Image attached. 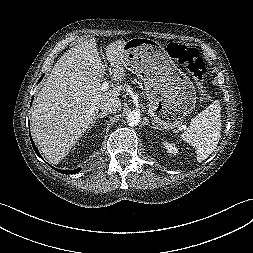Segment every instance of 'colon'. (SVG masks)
I'll list each match as a JSON object with an SVG mask.
<instances>
[{
    "label": "colon",
    "mask_w": 253,
    "mask_h": 253,
    "mask_svg": "<svg viewBox=\"0 0 253 253\" xmlns=\"http://www.w3.org/2000/svg\"><path fill=\"white\" fill-rule=\"evenodd\" d=\"M169 56L178 62L200 85V94L203 99L208 98V94L202 86L205 77V64L199 52L192 47L170 43L167 47Z\"/></svg>",
    "instance_id": "colon-1"
}]
</instances>
